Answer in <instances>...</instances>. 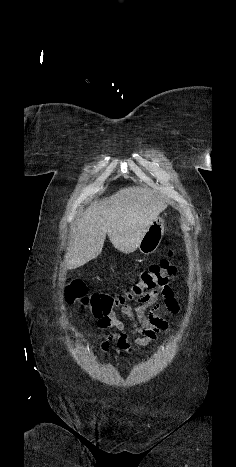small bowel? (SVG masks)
Wrapping results in <instances>:
<instances>
[{"mask_svg": "<svg viewBox=\"0 0 236 467\" xmlns=\"http://www.w3.org/2000/svg\"><path fill=\"white\" fill-rule=\"evenodd\" d=\"M161 294L164 297V305L157 303ZM151 308L150 312L147 310ZM179 306L171 286L166 285L160 292L155 291L140 299V304L133 309L129 304L121 308V312L133 322V331L140 335L133 343L137 347H143L158 339L169 330L168 317L176 314ZM96 326L99 329L114 327L115 331L107 335L102 346L107 350L110 342L116 341L118 351L128 352L131 349L128 336L125 333L124 323L116 313L108 316L97 317Z\"/></svg>", "mask_w": 236, "mask_h": 467, "instance_id": "1", "label": "small bowel"}]
</instances>
